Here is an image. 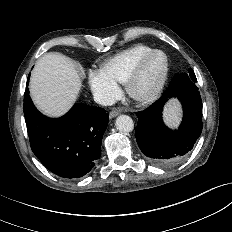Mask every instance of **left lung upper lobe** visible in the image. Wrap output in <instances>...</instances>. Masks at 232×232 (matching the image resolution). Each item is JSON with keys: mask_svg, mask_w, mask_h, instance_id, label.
<instances>
[{"mask_svg": "<svg viewBox=\"0 0 232 232\" xmlns=\"http://www.w3.org/2000/svg\"><path fill=\"white\" fill-rule=\"evenodd\" d=\"M183 80L184 83H196L197 79L195 76V73L193 71V69H189L188 73H181L179 74Z\"/></svg>", "mask_w": 232, "mask_h": 232, "instance_id": "left-lung-upper-lobe-1", "label": "left lung upper lobe"}]
</instances>
